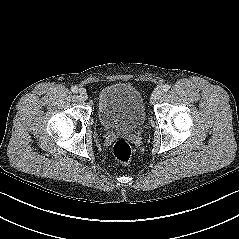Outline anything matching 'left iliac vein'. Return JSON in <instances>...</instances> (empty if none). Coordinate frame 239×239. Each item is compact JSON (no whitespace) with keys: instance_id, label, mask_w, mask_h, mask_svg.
Segmentation results:
<instances>
[{"instance_id":"obj_1","label":"left iliac vein","mask_w":239,"mask_h":239,"mask_svg":"<svg viewBox=\"0 0 239 239\" xmlns=\"http://www.w3.org/2000/svg\"><path fill=\"white\" fill-rule=\"evenodd\" d=\"M163 91L160 88H157L154 90L152 96H151V103H156L162 96Z\"/></svg>"}]
</instances>
